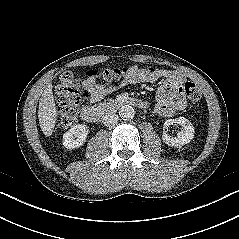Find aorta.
<instances>
[{
  "label": "aorta",
  "mask_w": 239,
  "mask_h": 239,
  "mask_svg": "<svg viewBox=\"0 0 239 239\" xmlns=\"http://www.w3.org/2000/svg\"><path fill=\"white\" fill-rule=\"evenodd\" d=\"M135 111L132 106L126 105L122 106L119 111V116L123 120H132L134 118Z\"/></svg>",
  "instance_id": "762f6f07"
}]
</instances>
